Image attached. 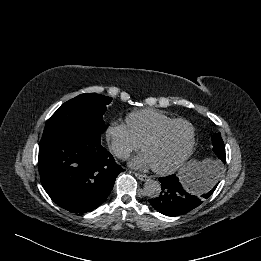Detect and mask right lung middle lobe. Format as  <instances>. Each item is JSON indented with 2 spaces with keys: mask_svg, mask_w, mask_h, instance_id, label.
<instances>
[{
  "mask_svg": "<svg viewBox=\"0 0 261 261\" xmlns=\"http://www.w3.org/2000/svg\"><path fill=\"white\" fill-rule=\"evenodd\" d=\"M111 101V97L99 94H81L67 101L49 118L43 136L78 128L104 132L103 114Z\"/></svg>",
  "mask_w": 261,
  "mask_h": 261,
  "instance_id": "right-lung-middle-lobe-1",
  "label": "right lung middle lobe"
}]
</instances>
